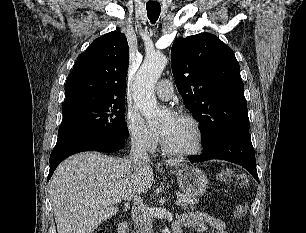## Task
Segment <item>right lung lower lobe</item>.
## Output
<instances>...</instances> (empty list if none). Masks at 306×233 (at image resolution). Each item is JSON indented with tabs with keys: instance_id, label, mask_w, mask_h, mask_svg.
<instances>
[{
	"instance_id": "98d812e1",
	"label": "right lung lower lobe",
	"mask_w": 306,
	"mask_h": 233,
	"mask_svg": "<svg viewBox=\"0 0 306 233\" xmlns=\"http://www.w3.org/2000/svg\"><path fill=\"white\" fill-rule=\"evenodd\" d=\"M126 139H109L102 137H84L55 147L50 155V170L47 180L62 160L68 156L83 151L115 152L120 150Z\"/></svg>"
}]
</instances>
